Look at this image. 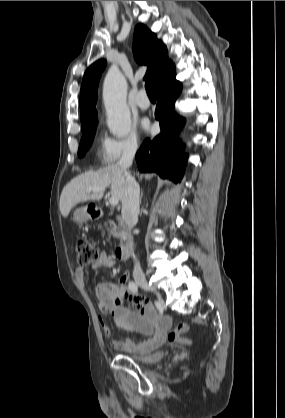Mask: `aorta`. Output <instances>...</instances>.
<instances>
[{
	"mask_svg": "<svg viewBox=\"0 0 285 418\" xmlns=\"http://www.w3.org/2000/svg\"><path fill=\"white\" fill-rule=\"evenodd\" d=\"M127 82L117 68L108 71L103 84V100L107 126L117 137L126 136L131 129V114L126 104Z\"/></svg>",
	"mask_w": 285,
	"mask_h": 418,
	"instance_id": "762f6f07",
	"label": "aorta"
}]
</instances>
